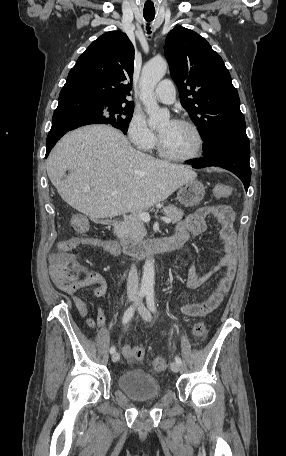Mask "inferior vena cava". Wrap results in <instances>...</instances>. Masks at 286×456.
Returning <instances> with one entry per match:
<instances>
[{"mask_svg": "<svg viewBox=\"0 0 286 456\" xmlns=\"http://www.w3.org/2000/svg\"><path fill=\"white\" fill-rule=\"evenodd\" d=\"M127 295L137 297L139 295V277L135 265L131 266L127 279Z\"/></svg>", "mask_w": 286, "mask_h": 456, "instance_id": "obj_1", "label": "inferior vena cava"}]
</instances>
